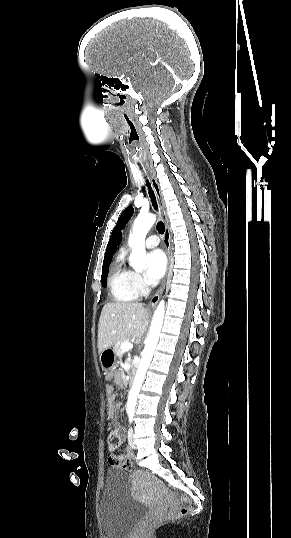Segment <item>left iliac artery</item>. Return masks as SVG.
<instances>
[{
    "mask_svg": "<svg viewBox=\"0 0 291 538\" xmlns=\"http://www.w3.org/2000/svg\"><path fill=\"white\" fill-rule=\"evenodd\" d=\"M132 420H133V413H130V414H129V422L131 423Z\"/></svg>",
    "mask_w": 291,
    "mask_h": 538,
    "instance_id": "obj_1",
    "label": "left iliac artery"
}]
</instances>
